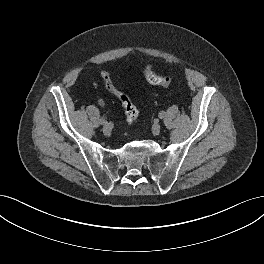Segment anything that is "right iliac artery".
Segmentation results:
<instances>
[{
  "label": "right iliac artery",
  "mask_w": 264,
  "mask_h": 264,
  "mask_svg": "<svg viewBox=\"0 0 264 264\" xmlns=\"http://www.w3.org/2000/svg\"><path fill=\"white\" fill-rule=\"evenodd\" d=\"M100 122H101V124H104L106 121H105L104 118H101V119H100Z\"/></svg>",
  "instance_id": "right-iliac-artery-1"
}]
</instances>
